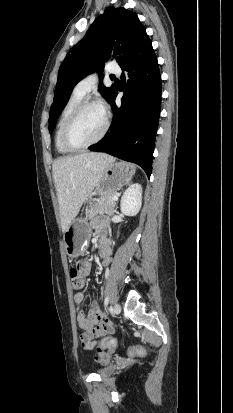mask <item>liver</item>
I'll list each match as a JSON object with an SVG mask.
<instances>
[{
  "label": "liver",
  "mask_w": 233,
  "mask_h": 413,
  "mask_svg": "<svg viewBox=\"0 0 233 413\" xmlns=\"http://www.w3.org/2000/svg\"><path fill=\"white\" fill-rule=\"evenodd\" d=\"M115 159L104 153L85 152L57 158L52 166L64 232L97 186L106 166Z\"/></svg>",
  "instance_id": "liver-1"
}]
</instances>
